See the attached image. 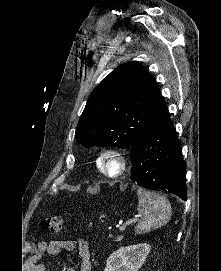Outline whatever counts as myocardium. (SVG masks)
I'll list each match as a JSON object with an SVG mask.
<instances>
[{
  "label": "myocardium",
  "instance_id": "myocardium-1",
  "mask_svg": "<svg viewBox=\"0 0 221 271\" xmlns=\"http://www.w3.org/2000/svg\"><path fill=\"white\" fill-rule=\"evenodd\" d=\"M106 153H103L105 156L101 157L102 165H98L100 170L98 175H103L104 178H119L127 172L126 165H122V160L119 161L120 150H104Z\"/></svg>",
  "mask_w": 221,
  "mask_h": 271
}]
</instances>
